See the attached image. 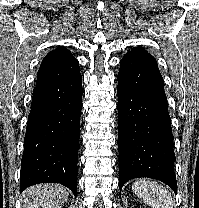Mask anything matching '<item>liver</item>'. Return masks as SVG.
I'll return each mask as SVG.
<instances>
[{"instance_id":"1","label":"liver","mask_w":199,"mask_h":208,"mask_svg":"<svg viewBox=\"0 0 199 208\" xmlns=\"http://www.w3.org/2000/svg\"><path fill=\"white\" fill-rule=\"evenodd\" d=\"M69 191L60 184H39L29 187L22 195V208H62Z\"/></svg>"}]
</instances>
